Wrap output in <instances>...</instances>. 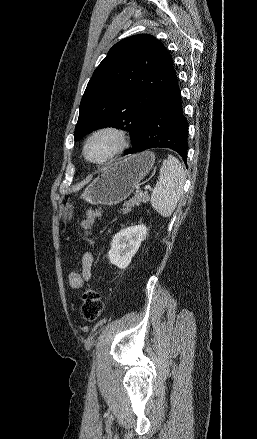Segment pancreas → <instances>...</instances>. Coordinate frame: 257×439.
<instances>
[{
    "mask_svg": "<svg viewBox=\"0 0 257 439\" xmlns=\"http://www.w3.org/2000/svg\"><path fill=\"white\" fill-rule=\"evenodd\" d=\"M149 201V195L147 193H136L127 203L124 204V208L121 210L123 214H127L131 211L132 207L139 206L141 203Z\"/></svg>",
    "mask_w": 257,
    "mask_h": 439,
    "instance_id": "1",
    "label": "pancreas"
}]
</instances>
